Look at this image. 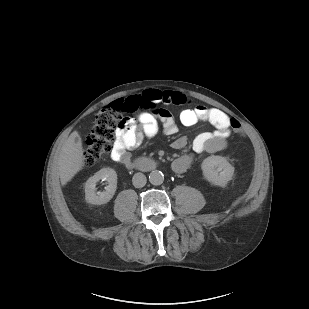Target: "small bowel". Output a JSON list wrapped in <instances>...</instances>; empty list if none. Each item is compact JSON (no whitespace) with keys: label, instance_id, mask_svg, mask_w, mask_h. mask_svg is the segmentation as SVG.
Segmentation results:
<instances>
[{"label":"small bowel","instance_id":"1","mask_svg":"<svg viewBox=\"0 0 309 309\" xmlns=\"http://www.w3.org/2000/svg\"><path fill=\"white\" fill-rule=\"evenodd\" d=\"M132 112L142 110L137 119H130V123L116 133V140L111 152V158L115 162L131 163L130 150L136 149L146 138L154 137L159 131L161 123L163 131L173 135L178 131V125L171 113L158 107L159 104L183 105L186 97L173 91L146 90L138 95L130 97ZM180 122L187 127L195 125L199 121H206L214 126V131H206L198 134L192 142V154H185L177 158L173 163V171L177 174L185 172L193 163L195 155L214 153L223 150L227 144V138L231 134V120L221 110L196 105L186 108L180 113ZM187 145V138L181 136L173 142L175 149H182Z\"/></svg>","mask_w":309,"mask_h":309}]
</instances>
